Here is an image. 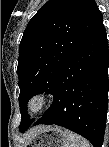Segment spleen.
Segmentation results:
<instances>
[{
    "mask_svg": "<svg viewBox=\"0 0 109 147\" xmlns=\"http://www.w3.org/2000/svg\"><path fill=\"white\" fill-rule=\"evenodd\" d=\"M66 140L67 143L65 147H90V144L86 139L70 131L66 134Z\"/></svg>",
    "mask_w": 109,
    "mask_h": 147,
    "instance_id": "spleen-1",
    "label": "spleen"
}]
</instances>
